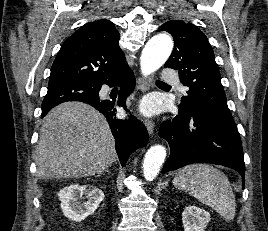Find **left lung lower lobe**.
Returning a JSON list of instances; mask_svg holds the SVG:
<instances>
[{
    "mask_svg": "<svg viewBox=\"0 0 268 231\" xmlns=\"http://www.w3.org/2000/svg\"><path fill=\"white\" fill-rule=\"evenodd\" d=\"M159 135L170 145V157L162 173L206 162L235 169L244 186V157L236 126L212 115L179 110L177 116L161 124Z\"/></svg>",
    "mask_w": 268,
    "mask_h": 231,
    "instance_id": "0a47b994",
    "label": "left lung lower lobe"
}]
</instances>
